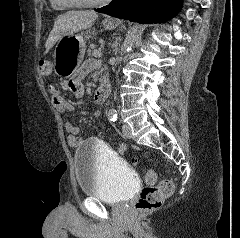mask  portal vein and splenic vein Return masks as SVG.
Masks as SVG:
<instances>
[{"mask_svg":"<svg viewBox=\"0 0 240 238\" xmlns=\"http://www.w3.org/2000/svg\"><path fill=\"white\" fill-rule=\"evenodd\" d=\"M101 48H102V46H101V47L99 48V50L96 52L95 57L100 58V57L102 56Z\"/></svg>","mask_w":240,"mask_h":238,"instance_id":"obj_1","label":"portal vein and splenic vein"}]
</instances>
